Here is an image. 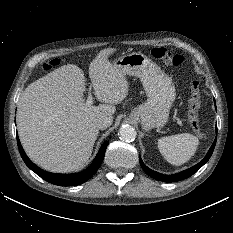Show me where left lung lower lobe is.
Wrapping results in <instances>:
<instances>
[{
	"instance_id": "obj_1",
	"label": "left lung lower lobe",
	"mask_w": 233,
	"mask_h": 233,
	"mask_svg": "<svg viewBox=\"0 0 233 233\" xmlns=\"http://www.w3.org/2000/svg\"><path fill=\"white\" fill-rule=\"evenodd\" d=\"M215 144H216V139L215 141L213 142L211 148L209 149L207 155L203 158V160L196 164L195 166L189 168V169H186L178 174H174V175H170V176H166V175H163L161 173H158L156 171H153L151 169H149L142 161V159L139 157V161H140V164H141V167L143 168V170L149 175L151 176L152 178L156 179V180H159V181H164V182H175V181H180V180H183V179H186L188 177H190L191 175H193L195 172H197L208 160L209 158L211 157L212 155V152L214 150V147H215Z\"/></svg>"
}]
</instances>
